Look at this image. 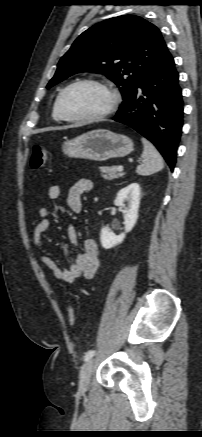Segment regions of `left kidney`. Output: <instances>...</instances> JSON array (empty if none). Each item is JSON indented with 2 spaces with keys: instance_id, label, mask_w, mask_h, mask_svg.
<instances>
[{
  "instance_id": "left-kidney-1",
  "label": "left kidney",
  "mask_w": 202,
  "mask_h": 437,
  "mask_svg": "<svg viewBox=\"0 0 202 437\" xmlns=\"http://www.w3.org/2000/svg\"><path fill=\"white\" fill-rule=\"evenodd\" d=\"M141 188L138 183H131L122 188L114 201V205L123 208L125 231L120 235H115L109 228L102 227L100 242L103 248L110 249L123 242L126 233L130 232L135 226L138 218ZM124 201L128 202V207Z\"/></svg>"
}]
</instances>
